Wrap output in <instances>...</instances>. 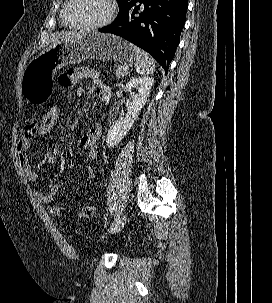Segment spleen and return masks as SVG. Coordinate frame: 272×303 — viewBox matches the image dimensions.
<instances>
[{"label":"spleen","instance_id":"spleen-1","mask_svg":"<svg viewBox=\"0 0 272 303\" xmlns=\"http://www.w3.org/2000/svg\"><path fill=\"white\" fill-rule=\"evenodd\" d=\"M133 50L136 53L135 70L140 75L146 76L153 74L155 71L154 59L139 47L132 45Z\"/></svg>","mask_w":272,"mask_h":303}]
</instances>
